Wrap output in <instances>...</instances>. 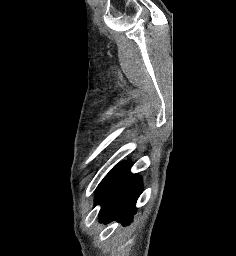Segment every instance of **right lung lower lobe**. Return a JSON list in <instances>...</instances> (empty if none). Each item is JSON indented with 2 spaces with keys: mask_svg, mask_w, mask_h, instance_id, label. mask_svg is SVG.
<instances>
[{
  "mask_svg": "<svg viewBox=\"0 0 236 256\" xmlns=\"http://www.w3.org/2000/svg\"><path fill=\"white\" fill-rule=\"evenodd\" d=\"M141 192L142 180L130 173V162L116 165L96 189L95 204L101 205L100 222L116 220L128 225L136 213L135 204Z\"/></svg>",
  "mask_w": 236,
  "mask_h": 256,
  "instance_id": "98d812e1",
  "label": "right lung lower lobe"
}]
</instances>
